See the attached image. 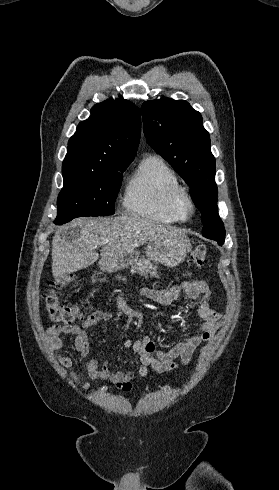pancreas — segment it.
Returning a JSON list of instances; mask_svg holds the SVG:
<instances>
[{
	"mask_svg": "<svg viewBox=\"0 0 279 490\" xmlns=\"http://www.w3.org/2000/svg\"><path fill=\"white\" fill-rule=\"evenodd\" d=\"M131 274H140V276H146L148 278V274H150V278H159L157 274V266H154L150 260H138L137 264H133L131 270Z\"/></svg>",
	"mask_w": 279,
	"mask_h": 490,
	"instance_id": "obj_1",
	"label": "pancreas"
}]
</instances>
